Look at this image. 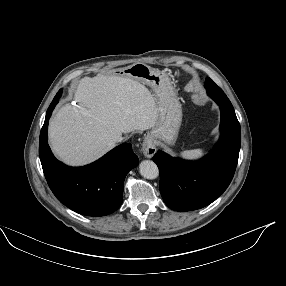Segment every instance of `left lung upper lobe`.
I'll return each instance as SVG.
<instances>
[{
  "label": "left lung upper lobe",
  "instance_id": "5c2ea615",
  "mask_svg": "<svg viewBox=\"0 0 286 286\" xmlns=\"http://www.w3.org/2000/svg\"><path fill=\"white\" fill-rule=\"evenodd\" d=\"M205 88L208 95L215 101L227 99V96L223 90L218 87L209 77L206 78Z\"/></svg>",
  "mask_w": 286,
  "mask_h": 286
}]
</instances>
